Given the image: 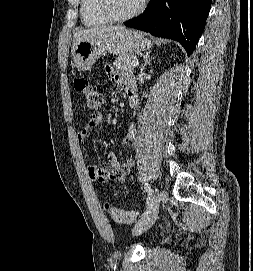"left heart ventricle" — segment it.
<instances>
[{"label":"left heart ventricle","mask_w":253,"mask_h":271,"mask_svg":"<svg viewBox=\"0 0 253 271\" xmlns=\"http://www.w3.org/2000/svg\"><path fill=\"white\" fill-rule=\"evenodd\" d=\"M140 2L141 0H111V6L117 15H125L136 9Z\"/></svg>","instance_id":"left-heart-ventricle-1"}]
</instances>
